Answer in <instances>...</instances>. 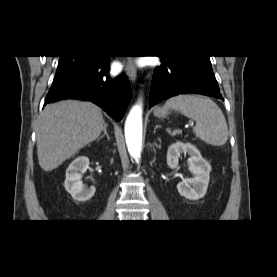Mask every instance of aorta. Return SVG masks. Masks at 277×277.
Wrapping results in <instances>:
<instances>
[{
    "label": "aorta",
    "mask_w": 277,
    "mask_h": 277,
    "mask_svg": "<svg viewBox=\"0 0 277 277\" xmlns=\"http://www.w3.org/2000/svg\"><path fill=\"white\" fill-rule=\"evenodd\" d=\"M142 103L134 105L125 122V139L130 155L136 161L140 158L142 149Z\"/></svg>",
    "instance_id": "obj_1"
}]
</instances>
